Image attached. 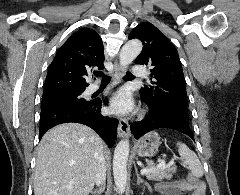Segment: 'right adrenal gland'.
<instances>
[{
    "label": "right adrenal gland",
    "mask_w": 240,
    "mask_h": 195,
    "mask_svg": "<svg viewBox=\"0 0 240 195\" xmlns=\"http://www.w3.org/2000/svg\"><path fill=\"white\" fill-rule=\"evenodd\" d=\"M102 191H104V185H100V187H96V189H92L91 193H93V195H100Z\"/></svg>",
    "instance_id": "right-adrenal-gland-1"
}]
</instances>
